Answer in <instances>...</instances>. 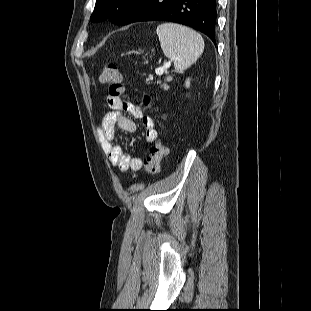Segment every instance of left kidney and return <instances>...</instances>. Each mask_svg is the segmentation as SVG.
Returning a JSON list of instances; mask_svg holds the SVG:
<instances>
[{"instance_id":"left-kidney-1","label":"left kidney","mask_w":311,"mask_h":311,"mask_svg":"<svg viewBox=\"0 0 311 311\" xmlns=\"http://www.w3.org/2000/svg\"><path fill=\"white\" fill-rule=\"evenodd\" d=\"M190 85V82H189V79L186 81V87H189Z\"/></svg>"}]
</instances>
